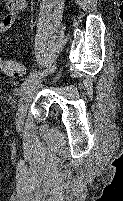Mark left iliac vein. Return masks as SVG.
Returning a JSON list of instances; mask_svg holds the SVG:
<instances>
[{
    "label": "left iliac vein",
    "mask_w": 123,
    "mask_h": 201,
    "mask_svg": "<svg viewBox=\"0 0 123 201\" xmlns=\"http://www.w3.org/2000/svg\"><path fill=\"white\" fill-rule=\"evenodd\" d=\"M42 77L43 76H39L38 78L34 79L28 85V87L24 90V92L22 94V97H21V100L19 103V107H18V111H17V115H16L17 128H20L23 125L28 105H29L34 93L36 92L37 88L41 84Z\"/></svg>",
    "instance_id": "obj_1"
}]
</instances>
